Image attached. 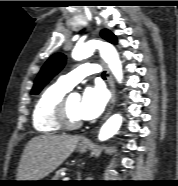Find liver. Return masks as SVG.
I'll return each instance as SVG.
<instances>
[{"instance_id": "obj_1", "label": "liver", "mask_w": 178, "mask_h": 186, "mask_svg": "<svg viewBox=\"0 0 178 186\" xmlns=\"http://www.w3.org/2000/svg\"><path fill=\"white\" fill-rule=\"evenodd\" d=\"M80 136L43 134L32 138L20 159L17 179L37 181L57 169L75 150Z\"/></svg>"}]
</instances>
